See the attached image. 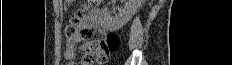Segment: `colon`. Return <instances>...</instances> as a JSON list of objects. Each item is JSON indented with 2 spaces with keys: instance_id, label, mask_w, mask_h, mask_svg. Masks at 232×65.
Masks as SVG:
<instances>
[{
  "instance_id": "1",
  "label": "colon",
  "mask_w": 232,
  "mask_h": 65,
  "mask_svg": "<svg viewBox=\"0 0 232 65\" xmlns=\"http://www.w3.org/2000/svg\"><path fill=\"white\" fill-rule=\"evenodd\" d=\"M100 0H90L89 4H96ZM85 17V11H77L70 19L66 28L68 37L73 36ZM120 44V38L116 33H108L104 38L84 44L83 50L86 53V60L91 63H103L110 53L116 51Z\"/></svg>"
}]
</instances>
